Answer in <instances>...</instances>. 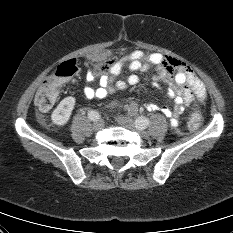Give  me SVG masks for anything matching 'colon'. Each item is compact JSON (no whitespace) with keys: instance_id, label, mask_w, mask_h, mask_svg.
I'll list each match as a JSON object with an SVG mask.
<instances>
[{"instance_id":"colon-1","label":"colon","mask_w":233,"mask_h":233,"mask_svg":"<svg viewBox=\"0 0 233 233\" xmlns=\"http://www.w3.org/2000/svg\"><path fill=\"white\" fill-rule=\"evenodd\" d=\"M113 61H107L99 67V72L108 73ZM79 68V62L75 59H71L60 64L55 73L48 77L41 87L38 89L35 95V105L42 112L50 110L55 101L60 88L61 83L73 76ZM201 125V117L197 111H194L188 121V129L195 131Z\"/></svg>"}]
</instances>
